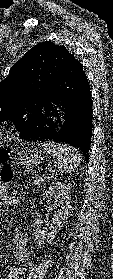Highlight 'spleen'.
Returning a JSON list of instances; mask_svg holds the SVG:
<instances>
[{
    "label": "spleen",
    "instance_id": "1",
    "mask_svg": "<svg viewBox=\"0 0 113 279\" xmlns=\"http://www.w3.org/2000/svg\"><path fill=\"white\" fill-rule=\"evenodd\" d=\"M38 145L53 157L55 166L65 174L74 172L82 159L81 153L68 145L48 142H40Z\"/></svg>",
    "mask_w": 113,
    "mask_h": 279
}]
</instances>
